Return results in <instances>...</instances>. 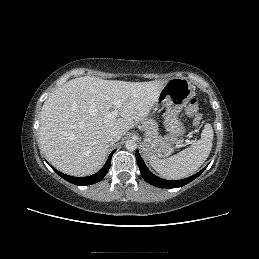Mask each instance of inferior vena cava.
I'll return each mask as SVG.
<instances>
[{
    "mask_svg": "<svg viewBox=\"0 0 259 259\" xmlns=\"http://www.w3.org/2000/svg\"><path fill=\"white\" fill-rule=\"evenodd\" d=\"M122 133L120 131H111L107 134L106 140L108 143H115L120 140Z\"/></svg>",
    "mask_w": 259,
    "mask_h": 259,
    "instance_id": "602c4592",
    "label": "inferior vena cava"
}]
</instances>
